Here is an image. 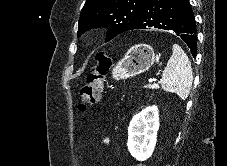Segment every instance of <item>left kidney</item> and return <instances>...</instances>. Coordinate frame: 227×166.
<instances>
[{
	"instance_id": "1",
	"label": "left kidney",
	"mask_w": 227,
	"mask_h": 166,
	"mask_svg": "<svg viewBox=\"0 0 227 166\" xmlns=\"http://www.w3.org/2000/svg\"><path fill=\"white\" fill-rule=\"evenodd\" d=\"M159 129L158 107L153 105L135 115L128 127V150L138 161L151 157Z\"/></svg>"
}]
</instances>
